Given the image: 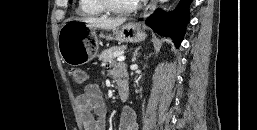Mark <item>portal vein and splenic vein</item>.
I'll use <instances>...</instances> for the list:
<instances>
[{
    "label": "portal vein and splenic vein",
    "mask_w": 257,
    "mask_h": 130,
    "mask_svg": "<svg viewBox=\"0 0 257 130\" xmlns=\"http://www.w3.org/2000/svg\"><path fill=\"white\" fill-rule=\"evenodd\" d=\"M125 59H126V57H125L123 54H119V55L117 56V61H118V62H123Z\"/></svg>",
    "instance_id": "18ae733b"
}]
</instances>
